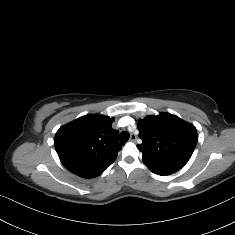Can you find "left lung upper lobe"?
Masks as SVG:
<instances>
[{
    "label": "left lung upper lobe",
    "instance_id": "1",
    "mask_svg": "<svg viewBox=\"0 0 235 235\" xmlns=\"http://www.w3.org/2000/svg\"><path fill=\"white\" fill-rule=\"evenodd\" d=\"M138 149L144 158L184 166L190 159L198 142L194 125L169 114L147 116L138 122Z\"/></svg>",
    "mask_w": 235,
    "mask_h": 235
}]
</instances>
